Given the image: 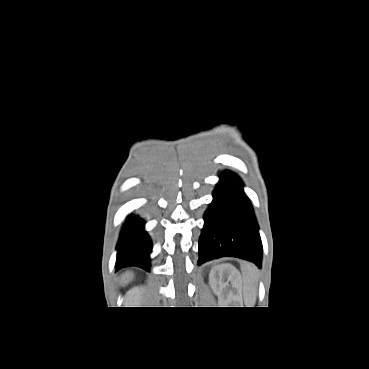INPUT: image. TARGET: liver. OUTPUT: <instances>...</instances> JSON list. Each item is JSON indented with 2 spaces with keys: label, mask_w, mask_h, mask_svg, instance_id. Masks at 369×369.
Here are the masks:
<instances>
[{
  "label": "liver",
  "mask_w": 369,
  "mask_h": 369,
  "mask_svg": "<svg viewBox=\"0 0 369 369\" xmlns=\"http://www.w3.org/2000/svg\"><path fill=\"white\" fill-rule=\"evenodd\" d=\"M133 277H134V274H133L132 272H126V273L122 276L120 284H121L122 286L127 285L129 282H131V281H132Z\"/></svg>",
  "instance_id": "liver-1"
}]
</instances>
